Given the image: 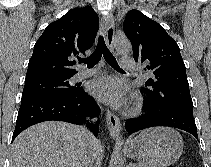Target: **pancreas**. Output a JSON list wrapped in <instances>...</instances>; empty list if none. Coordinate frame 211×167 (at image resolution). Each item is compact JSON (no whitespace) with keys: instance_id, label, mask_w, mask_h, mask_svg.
<instances>
[{"instance_id":"1","label":"pancreas","mask_w":211,"mask_h":167,"mask_svg":"<svg viewBox=\"0 0 211 167\" xmlns=\"http://www.w3.org/2000/svg\"><path fill=\"white\" fill-rule=\"evenodd\" d=\"M130 167H144L141 164H129Z\"/></svg>"}]
</instances>
